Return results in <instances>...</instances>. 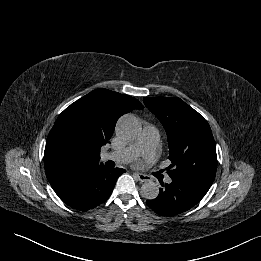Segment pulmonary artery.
I'll list each match as a JSON object with an SVG mask.
<instances>
[{
	"label": "pulmonary artery",
	"instance_id": "1",
	"mask_svg": "<svg viewBox=\"0 0 261 261\" xmlns=\"http://www.w3.org/2000/svg\"><path fill=\"white\" fill-rule=\"evenodd\" d=\"M159 137V131L155 126H145L134 143L123 149L104 153L101 158L103 161L113 160L120 164L130 163L140 155L153 158L159 142ZM166 182L171 183L172 179L168 177Z\"/></svg>",
	"mask_w": 261,
	"mask_h": 261
}]
</instances>
